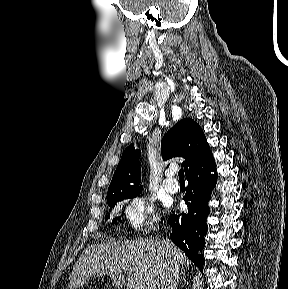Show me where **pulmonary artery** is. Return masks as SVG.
<instances>
[{
    "label": "pulmonary artery",
    "mask_w": 288,
    "mask_h": 289,
    "mask_svg": "<svg viewBox=\"0 0 288 289\" xmlns=\"http://www.w3.org/2000/svg\"><path fill=\"white\" fill-rule=\"evenodd\" d=\"M162 186L164 190L169 193H176L179 190V184L170 171L166 173Z\"/></svg>",
    "instance_id": "obj_1"
}]
</instances>
